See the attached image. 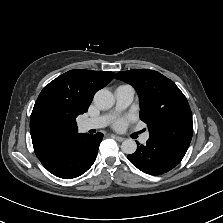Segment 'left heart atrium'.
Returning a JSON list of instances; mask_svg holds the SVG:
<instances>
[{
    "label": "left heart atrium",
    "instance_id": "left-heart-atrium-1",
    "mask_svg": "<svg viewBox=\"0 0 223 223\" xmlns=\"http://www.w3.org/2000/svg\"><path fill=\"white\" fill-rule=\"evenodd\" d=\"M126 123H127V119H119L115 122V127L118 129H121L125 127Z\"/></svg>",
    "mask_w": 223,
    "mask_h": 223
}]
</instances>
